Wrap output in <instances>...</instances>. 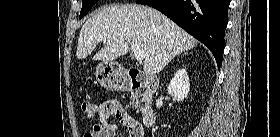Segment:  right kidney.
Listing matches in <instances>:
<instances>
[{
	"label": "right kidney",
	"instance_id": "right-kidney-1",
	"mask_svg": "<svg viewBox=\"0 0 280 137\" xmlns=\"http://www.w3.org/2000/svg\"><path fill=\"white\" fill-rule=\"evenodd\" d=\"M190 90V83L186 69L176 71L169 86L168 93L177 101H183Z\"/></svg>",
	"mask_w": 280,
	"mask_h": 137
}]
</instances>
